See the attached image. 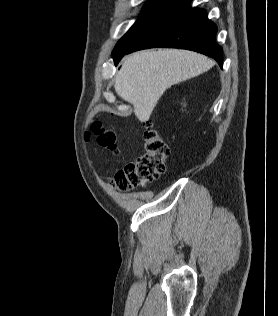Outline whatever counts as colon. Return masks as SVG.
I'll return each mask as SVG.
<instances>
[{
	"mask_svg": "<svg viewBox=\"0 0 278 316\" xmlns=\"http://www.w3.org/2000/svg\"><path fill=\"white\" fill-rule=\"evenodd\" d=\"M92 132L99 145L113 153L118 152L116 134L112 130L105 129L96 122ZM168 154L169 147L161 135L151 123H147L144 133V153L115 174L112 179L113 185L119 190L128 191L158 179L165 171V159Z\"/></svg>",
	"mask_w": 278,
	"mask_h": 316,
	"instance_id": "colon-1",
	"label": "colon"
}]
</instances>
